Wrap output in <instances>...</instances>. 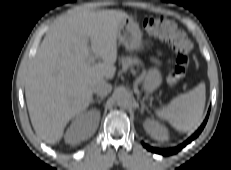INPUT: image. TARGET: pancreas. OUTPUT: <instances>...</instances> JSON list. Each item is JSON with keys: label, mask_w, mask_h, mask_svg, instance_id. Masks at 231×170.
I'll return each mask as SVG.
<instances>
[{"label": "pancreas", "mask_w": 231, "mask_h": 170, "mask_svg": "<svg viewBox=\"0 0 231 170\" xmlns=\"http://www.w3.org/2000/svg\"><path fill=\"white\" fill-rule=\"evenodd\" d=\"M120 63L122 64L123 69L133 68L135 65H141V61L137 57L132 56H122L120 58Z\"/></svg>", "instance_id": "pancreas-1"}]
</instances>
